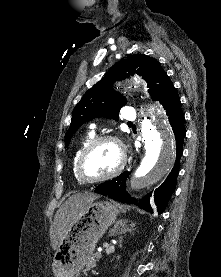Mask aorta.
Listing matches in <instances>:
<instances>
[{
	"label": "aorta",
	"mask_w": 221,
	"mask_h": 277,
	"mask_svg": "<svg viewBox=\"0 0 221 277\" xmlns=\"http://www.w3.org/2000/svg\"><path fill=\"white\" fill-rule=\"evenodd\" d=\"M145 156L134 173L133 188H146L165 176L174 163V136L159 109L141 120Z\"/></svg>",
	"instance_id": "aorta-1"
}]
</instances>
